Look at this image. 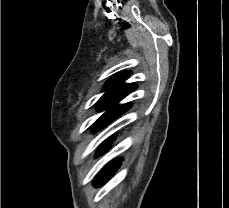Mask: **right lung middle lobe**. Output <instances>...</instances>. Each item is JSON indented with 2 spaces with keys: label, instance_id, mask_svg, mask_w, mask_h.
Segmentation results:
<instances>
[{
  "label": "right lung middle lobe",
  "instance_id": "dd1d6c3e",
  "mask_svg": "<svg viewBox=\"0 0 229 208\" xmlns=\"http://www.w3.org/2000/svg\"><path fill=\"white\" fill-rule=\"evenodd\" d=\"M117 103L118 101H110V100L98 101L96 103V105H98V110H106V109L108 110L99 119H97V121L92 125V128L99 129L105 127L107 124L111 123L113 120L118 118L121 114H123L130 108V106L126 104L115 105ZM110 140L111 139L106 140L104 144L108 143Z\"/></svg>",
  "mask_w": 229,
  "mask_h": 208
}]
</instances>
